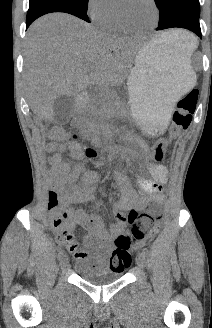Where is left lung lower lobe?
<instances>
[{
    "instance_id": "obj_1",
    "label": "left lung lower lobe",
    "mask_w": 212,
    "mask_h": 328,
    "mask_svg": "<svg viewBox=\"0 0 212 328\" xmlns=\"http://www.w3.org/2000/svg\"><path fill=\"white\" fill-rule=\"evenodd\" d=\"M175 27L188 29L202 37L199 18L185 10L178 9L172 12L163 23H159L157 30Z\"/></svg>"
}]
</instances>
